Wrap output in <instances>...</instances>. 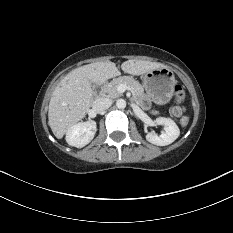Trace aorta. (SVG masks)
<instances>
[{"label":"aorta","mask_w":233,"mask_h":233,"mask_svg":"<svg viewBox=\"0 0 233 233\" xmlns=\"http://www.w3.org/2000/svg\"><path fill=\"white\" fill-rule=\"evenodd\" d=\"M116 106L119 109H124L126 107V101L124 99H118L116 101Z\"/></svg>","instance_id":"obj_1"}]
</instances>
